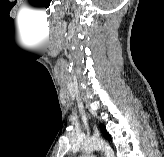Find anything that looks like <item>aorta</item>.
I'll return each instance as SVG.
<instances>
[{
    "label": "aorta",
    "mask_w": 164,
    "mask_h": 157,
    "mask_svg": "<svg viewBox=\"0 0 164 157\" xmlns=\"http://www.w3.org/2000/svg\"><path fill=\"white\" fill-rule=\"evenodd\" d=\"M82 150L86 153L92 152L94 150H101L104 152L105 157H114L113 149L109 146L108 143L100 139H91L85 141L82 144Z\"/></svg>",
    "instance_id": "aorta-1"
}]
</instances>
